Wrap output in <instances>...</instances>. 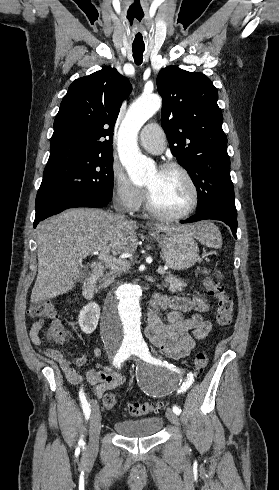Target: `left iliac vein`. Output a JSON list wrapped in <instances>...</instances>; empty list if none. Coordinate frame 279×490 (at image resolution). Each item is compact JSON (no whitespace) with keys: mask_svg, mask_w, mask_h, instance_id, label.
<instances>
[{"mask_svg":"<svg viewBox=\"0 0 279 490\" xmlns=\"http://www.w3.org/2000/svg\"><path fill=\"white\" fill-rule=\"evenodd\" d=\"M166 416H167L168 420L170 422H172L175 426L179 425L178 417L171 409H167Z\"/></svg>","mask_w":279,"mask_h":490,"instance_id":"obj_1","label":"left iliac vein"}]
</instances>
